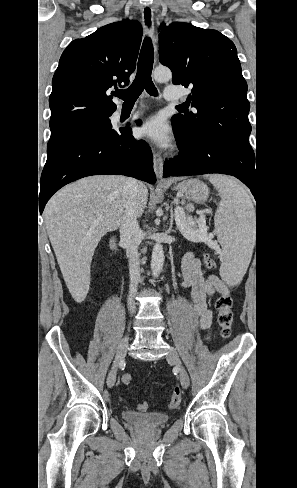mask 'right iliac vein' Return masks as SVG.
<instances>
[{
	"label": "right iliac vein",
	"mask_w": 297,
	"mask_h": 488,
	"mask_svg": "<svg viewBox=\"0 0 297 488\" xmlns=\"http://www.w3.org/2000/svg\"><path fill=\"white\" fill-rule=\"evenodd\" d=\"M128 347H129V335H126L118 345L113 367L107 377V385L109 388L113 387V385L115 384L118 364L125 357Z\"/></svg>",
	"instance_id": "1"
}]
</instances>
